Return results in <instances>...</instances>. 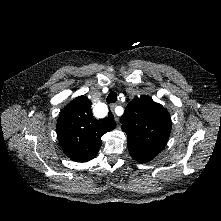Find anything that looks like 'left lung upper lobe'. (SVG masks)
Segmentation results:
<instances>
[{"label":"left lung upper lobe","mask_w":221,"mask_h":221,"mask_svg":"<svg viewBox=\"0 0 221 221\" xmlns=\"http://www.w3.org/2000/svg\"><path fill=\"white\" fill-rule=\"evenodd\" d=\"M121 123L127 134L129 153L140 163L151 161L161 152L171 131L167 110L146 95L126 106Z\"/></svg>","instance_id":"5c2ea615"}]
</instances>
